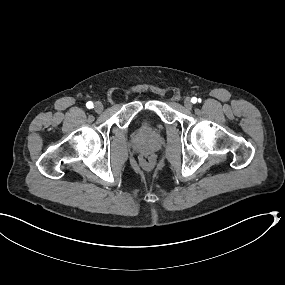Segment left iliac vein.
<instances>
[{"label":"left iliac vein","mask_w":285,"mask_h":285,"mask_svg":"<svg viewBox=\"0 0 285 285\" xmlns=\"http://www.w3.org/2000/svg\"><path fill=\"white\" fill-rule=\"evenodd\" d=\"M184 106L186 109H192L193 104H192L191 99L189 97H186L184 99Z\"/></svg>","instance_id":"left-iliac-vein-1"}]
</instances>
